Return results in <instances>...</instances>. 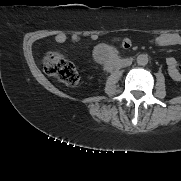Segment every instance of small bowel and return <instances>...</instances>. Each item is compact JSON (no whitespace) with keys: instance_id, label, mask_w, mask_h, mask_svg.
I'll use <instances>...</instances> for the list:
<instances>
[{"instance_id":"1","label":"small bowel","mask_w":181,"mask_h":181,"mask_svg":"<svg viewBox=\"0 0 181 181\" xmlns=\"http://www.w3.org/2000/svg\"><path fill=\"white\" fill-rule=\"evenodd\" d=\"M54 39L56 43L63 44L68 37L65 33H59ZM71 40L78 42L80 37L74 34L71 36ZM152 42L159 46L181 45V36L178 33H164L154 37ZM120 44L123 48H129L131 42L129 39L124 38L120 40ZM166 65L169 76L175 81H181V66L178 65L177 61L174 58H167Z\"/></svg>"}]
</instances>
